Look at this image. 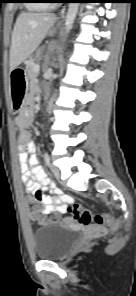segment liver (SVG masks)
Instances as JSON below:
<instances>
[{"instance_id":"obj_1","label":"liver","mask_w":136,"mask_h":296,"mask_svg":"<svg viewBox=\"0 0 136 296\" xmlns=\"http://www.w3.org/2000/svg\"><path fill=\"white\" fill-rule=\"evenodd\" d=\"M56 19L52 13L23 12L18 16L11 38L10 71L32 55Z\"/></svg>"}]
</instances>
